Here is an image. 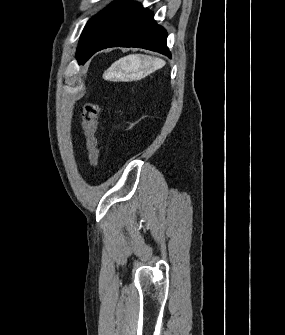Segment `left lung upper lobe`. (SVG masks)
<instances>
[{
    "label": "left lung upper lobe",
    "instance_id": "left-lung-upper-lobe-1",
    "mask_svg": "<svg viewBox=\"0 0 285 335\" xmlns=\"http://www.w3.org/2000/svg\"><path fill=\"white\" fill-rule=\"evenodd\" d=\"M98 15V14H97ZM96 15V16H97ZM96 16H94L93 18H91V20L90 21H88V23L86 24V26H85V28H84V30H83V32H82V34H81V39H80V41H79V45H78V48H77V60H78V56H79V50H80V48H81V44H82V40H83V38H84V35L86 34V32H87V30H88V28L90 27V25L92 24V22L94 21V19L96 18Z\"/></svg>",
    "mask_w": 285,
    "mask_h": 335
}]
</instances>
